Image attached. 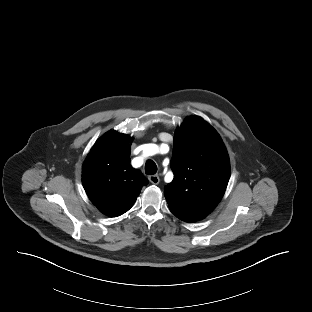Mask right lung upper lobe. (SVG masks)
<instances>
[{
	"label": "right lung upper lobe",
	"instance_id": "right-lung-upper-lobe-1",
	"mask_svg": "<svg viewBox=\"0 0 312 312\" xmlns=\"http://www.w3.org/2000/svg\"><path fill=\"white\" fill-rule=\"evenodd\" d=\"M131 140L109 131L94 144L83 164L82 182L88 197L110 217L128 211L148 184L141 171L130 165Z\"/></svg>",
	"mask_w": 312,
	"mask_h": 312
}]
</instances>
